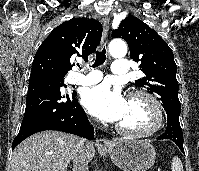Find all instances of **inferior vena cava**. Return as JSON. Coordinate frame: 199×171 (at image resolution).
Listing matches in <instances>:
<instances>
[{"label":"inferior vena cava","mask_w":199,"mask_h":171,"mask_svg":"<svg viewBox=\"0 0 199 171\" xmlns=\"http://www.w3.org/2000/svg\"><path fill=\"white\" fill-rule=\"evenodd\" d=\"M86 144L87 142L84 138L79 139L77 148L73 156V171H89L88 160L85 153Z\"/></svg>","instance_id":"obj_1"}]
</instances>
